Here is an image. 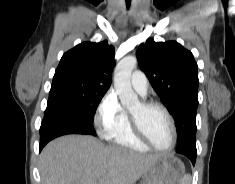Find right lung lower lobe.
Wrapping results in <instances>:
<instances>
[{
  "instance_id": "98d812e1",
  "label": "right lung lower lobe",
  "mask_w": 235,
  "mask_h": 184,
  "mask_svg": "<svg viewBox=\"0 0 235 184\" xmlns=\"http://www.w3.org/2000/svg\"><path fill=\"white\" fill-rule=\"evenodd\" d=\"M66 134L96 135L93 122L60 101L48 100L40 127V149L52 139Z\"/></svg>"
}]
</instances>
